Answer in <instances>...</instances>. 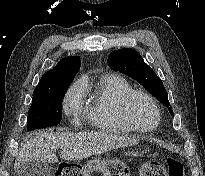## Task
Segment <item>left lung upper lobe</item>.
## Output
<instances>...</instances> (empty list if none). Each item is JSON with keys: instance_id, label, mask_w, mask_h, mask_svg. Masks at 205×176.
<instances>
[{"instance_id": "left-lung-upper-lobe-1", "label": "left lung upper lobe", "mask_w": 205, "mask_h": 176, "mask_svg": "<svg viewBox=\"0 0 205 176\" xmlns=\"http://www.w3.org/2000/svg\"><path fill=\"white\" fill-rule=\"evenodd\" d=\"M108 65L116 71H120L137 80L143 87L152 93L163 105L169 106L168 94L163 82L146 64L141 55L131 48L115 50L108 56ZM173 115V111L169 108Z\"/></svg>"}]
</instances>
